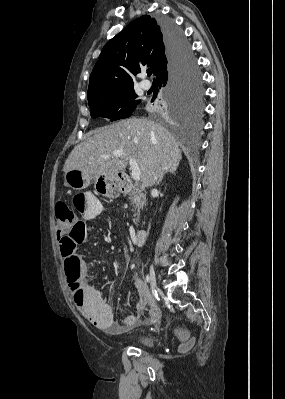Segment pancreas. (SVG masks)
Wrapping results in <instances>:
<instances>
[{"label": "pancreas", "instance_id": "pancreas-1", "mask_svg": "<svg viewBox=\"0 0 285 399\" xmlns=\"http://www.w3.org/2000/svg\"><path fill=\"white\" fill-rule=\"evenodd\" d=\"M124 196H128L131 204L134 207V222H137L140 217V211L146 203V195L141 189L135 185H128L124 191Z\"/></svg>", "mask_w": 285, "mask_h": 399}]
</instances>
